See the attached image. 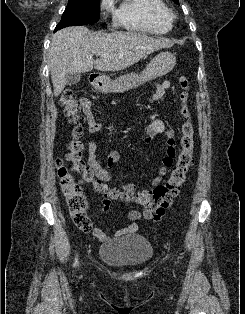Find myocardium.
Wrapping results in <instances>:
<instances>
[{
	"mask_svg": "<svg viewBox=\"0 0 245 314\" xmlns=\"http://www.w3.org/2000/svg\"><path fill=\"white\" fill-rule=\"evenodd\" d=\"M166 14L170 20H173L177 17L176 13L172 9H169V8H167Z\"/></svg>",
	"mask_w": 245,
	"mask_h": 314,
	"instance_id": "obj_1",
	"label": "myocardium"
}]
</instances>
